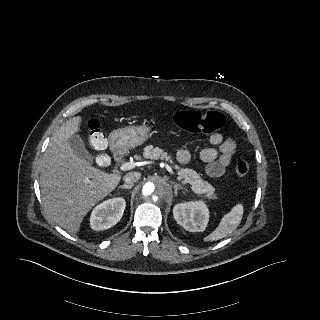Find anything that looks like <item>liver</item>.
<instances>
[{"label": "liver", "mask_w": 320, "mask_h": 320, "mask_svg": "<svg viewBox=\"0 0 320 320\" xmlns=\"http://www.w3.org/2000/svg\"><path fill=\"white\" fill-rule=\"evenodd\" d=\"M82 121L81 116L73 117L53 134L40 174L45 211L71 233L80 230L85 215L121 180V175L105 173L73 153L68 138L81 131Z\"/></svg>", "instance_id": "obj_1"}]
</instances>
